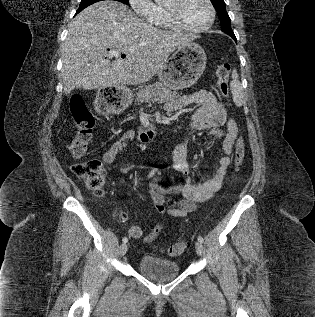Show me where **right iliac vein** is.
I'll list each match as a JSON object with an SVG mask.
<instances>
[{"instance_id": "right-iliac-vein-1", "label": "right iliac vein", "mask_w": 315, "mask_h": 317, "mask_svg": "<svg viewBox=\"0 0 315 317\" xmlns=\"http://www.w3.org/2000/svg\"><path fill=\"white\" fill-rule=\"evenodd\" d=\"M127 250H128L127 244H125V243L122 244V245L120 246V249H119L120 255H121V256L125 255L126 252H127Z\"/></svg>"}]
</instances>
